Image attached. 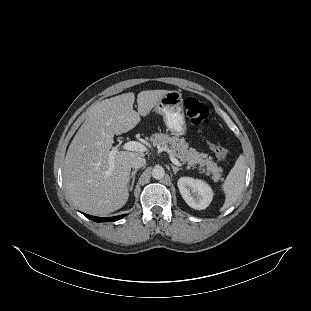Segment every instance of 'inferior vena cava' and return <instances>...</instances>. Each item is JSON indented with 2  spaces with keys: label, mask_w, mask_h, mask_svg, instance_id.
Instances as JSON below:
<instances>
[{
  "label": "inferior vena cava",
  "mask_w": 311,
  "mask_h": 311,
  "mask_svg": "<svg viewBox=\"0 0 311 311\" xmlns=\"http://www.w3.org/2000/svg\"><path fill=\"white\" fill-rule=\"evenodd\" d=\"M146 164V159L144 157H135L134 159L131 160L130 165L131 168L138 169Z\"/></svg>",
  "instance_id": "obj_1"
}]
</instances>
